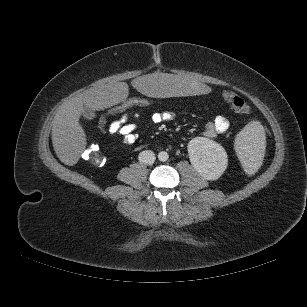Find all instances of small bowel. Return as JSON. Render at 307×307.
Listing matches in <instances>:
<instances>
[{"label": "small bowel", "instance_id": "1", "mask_svg": "<svg viewBox=\"0 0 307 307\" xmlns=\"http://www.w3.org/2000/svg\"><path fill=\"white\" fill-rule=\"evenodd\" d=\"M175 115L172 111H160L151 114L146 122H142L138 112H131L125 117L113 121L109 125V133L118 135L122 141L131 145L134 144L140 135V126L145 129L157 126L174 120ZM229 128V120L224 116H216L212 121L206 124L205 135L208 137H216L226 132Z\"/></svg>", "mask_w": 307, "mask_h": 307}]
</instances>
